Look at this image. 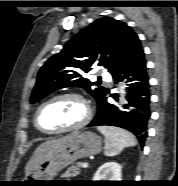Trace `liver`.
<instances>
[{"label": "liver", "instance_id": "1", "mask_svg": "<svg viewBox=\"0 0 178 186\" xmlns=\"http://www.w3.org/2000/svg\"><path fill=\"white\" fill-rule=\"evenodd\" d=\"M76 134L67 135L58 139L48 140L42 143L37 149L34 151L32 157L25 167V175L27 176L30 172H32L50 153L54 150L60 148L65 145L69 140L75 137Z\"/></svg>", "mask_w": 178, "mask_h": 186}]
</instances>
